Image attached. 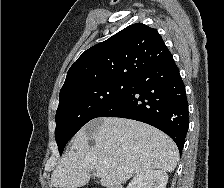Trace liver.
Listing matches in <instances>:
<instances>
[{
  "mask_svg": "<svg viewBox=\"0 0 224 188\" xmlns=\"http://www.w3.org/2000/svg\"><path fill=\"white\" fill-rule=\"evenodd\" d=\"M91 139L94 146L89 145ZM178 160L175 142L162 131L130 119L98 118L75 135L70 151L51 175L50 186L83 187L92 171L102 170L101 185L120 188L133 174L172 172Z\"/></svg>",
  "mask_w": 224,
  "mask_h": 188,
  "instance_id": "1",
  "label": "liver"
}]
</instances>
